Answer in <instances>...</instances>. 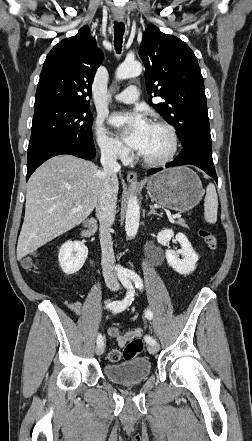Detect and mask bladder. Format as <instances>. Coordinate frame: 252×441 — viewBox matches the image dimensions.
I'll use <instances>...</instances> for the list:
<instances>
[{
  "label": "bladder",
  "instance_id": "1",
  "mask_svg": "<svg viewBox=\"0 0 252 441\" xmlns=\"http://www.w3.org/2000/svg\"><path fill=\"white\" fill-rule=\"evenodd\" d=\"M151 373V362L146 357H134L121 363H109L104 366L107 379L118 384L138 383Z\"/></svg>",
  "mask_w": 252,
  "mask_h": 441
}]
</instances>
